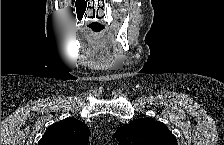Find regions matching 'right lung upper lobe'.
Instances as JSON below:
<instances>
[{"label":"right lung upper lobe","instance_id":"1","mask_svg":"<svg viewBox=\"0 0 224 145\" xmlns=\"http://www.w3.org/2000/svg\"><path fill=\"white\" fill-rule=\"evenodd\" d=\"M89 141V128L85 123L66 118L50 125L38 145H86Z\"/></svg>","mask_w":224,"mask_h":145}]
</instances>
